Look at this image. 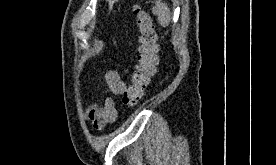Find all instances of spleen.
Returning <instances> with one entry per match:
<instances>
[{
    "mask_svg": "<svg viewBox=\"0 0 276 165\" xmlns=\"http://www.w3.org/2000/svg\"><path fill=\"white\" fill-rule=\"evenodd\" d=\"M152 12L157 16L158 22L162 27H167L171 21V11L168 5L162 0H155Z\"/></svg>",
    "mask_w": 276,
    "mask_h": 165,
    "instance_id": "obj_1",
    "label": "spleen"
}]
</instances>
